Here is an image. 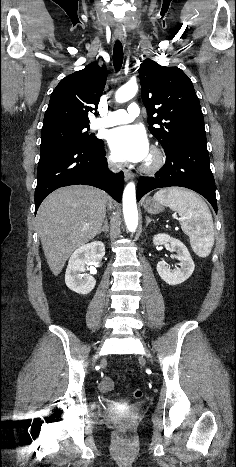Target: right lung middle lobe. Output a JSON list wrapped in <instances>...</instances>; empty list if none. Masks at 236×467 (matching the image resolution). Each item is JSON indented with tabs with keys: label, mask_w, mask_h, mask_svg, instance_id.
<instances>
[{
	"label": "right lung middle lobe",
	"mask_w": 236,
	"mask_h": 467,
	"mask_svg": "<svg viewBox=\"0 0 236 467\" xmlns=\"http://www.w3.org/2000/svg\"><path fill=\"white\" fill-rule=\"evenodd\" d=\"M88 128L89 125H66L41 130L40 149L63 143L95 148L102 143V140L89 134Z\"/></svg>",
	"instance_id": "1"
}]
</instances>
